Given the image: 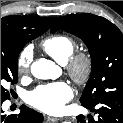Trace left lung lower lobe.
<instances>
[{
  "instance_id": "left-lung-lower-lobe-1",
  "label": "left lung lower lobe",
  "mask_w": 123,
  "mask_h": 123,
  "mask_svg": "<svg viewBox=\"0 0 123 123\" xmlns=\"http://www.w3.org/2000/svg\"><path fill=\"white\" fill-rule=\"evenodd\" d=\"M83 106L98 114V119L89 116L90 119L86 120L83 115H79L77 123H123V96L105 98L95 105Z\"/></svg>"
}]
</instances>
